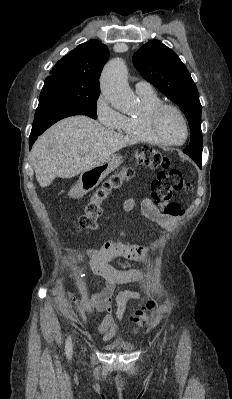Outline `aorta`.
<instances>
[{"instance_id":"obj_1","label":"aorta","mask_w":232,"mask_h":399,"mask_svg":"<svg viewBox=\"0 0 232 399\" xmlns=\"http://www.w3.org/2000/svg\"><path fill=\"white\" fill-rule=\"evenodd\" d=\"M100 86L113 108L126 112L135 105L136 99L129 87L127 67L123 60L114 59L107 63L100 78Z\"/></svg>"}]
</instances>
